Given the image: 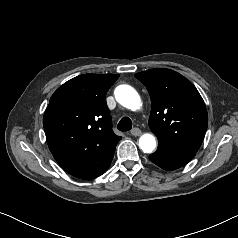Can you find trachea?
<instances>
[{"label":"trachea","instance_id":"obj_1","mask_svg":"<svg viewBox=\"0 0 238 238\" xmlns=\"http://www.w3.org/2000/svg\"><path fill=\"white\" fill-rule=\"evenodd\" d=\"M117 128H118V130L123 131V132L131 130V128H132V121H131V119L129 117H123L119 121V123L117 125Z\"/></svg>","mask_w":238,"mask_h":238}]
</instances>
